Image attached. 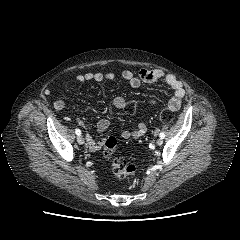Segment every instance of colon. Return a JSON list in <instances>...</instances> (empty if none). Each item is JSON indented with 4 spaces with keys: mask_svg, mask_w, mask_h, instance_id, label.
Here are the masks:
<instances>
[{
    "mask_svg": "<svg viewBox=\"0 0 240 240\" xmlns=\"http://www.w3.org/2000/svg\"><path fill=\"white\" fill-rule=\"evenodd\" d=\"M137 103L135 101L129 102L126 107L129 111L136 108ZM174 118V111L169 108H163L160 111V119L162 122H171ZM117 147V140L114 137H108L103 141L102 153L106 158H112ZM111 168L114 175L120 179L130 180L136 173V167L129 164L125 159L116 157L111 162Z\"/></svg>",
    "mask_w": 240,
    "mask_h": 240,
    "instance_id": "colon-1",
    "label": "colon"
}]
</instances>
